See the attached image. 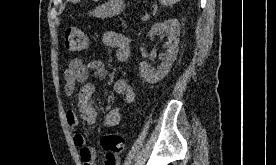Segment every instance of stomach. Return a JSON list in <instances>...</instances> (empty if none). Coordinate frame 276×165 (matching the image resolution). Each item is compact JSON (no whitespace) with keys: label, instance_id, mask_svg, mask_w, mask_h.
Masks as SVG:
<instances>
[{"label":"stomach","instance_id":"obj_1","mask_svg":"<svg viewBox=\"0 0 276 165\" xmlns=\"http://www.w3.org/2000/svg\"><path fill=\"white\" fill-rule=\"evenodd\" d=\"M124 6L123 0H108V2L96 7V9L90 12V15L98 18L112 17L120 14Z\"/></svg>","mask_w":276,"mask_h":165}]
</instances>
